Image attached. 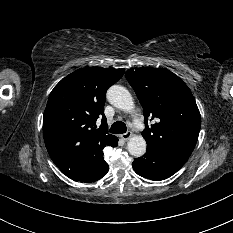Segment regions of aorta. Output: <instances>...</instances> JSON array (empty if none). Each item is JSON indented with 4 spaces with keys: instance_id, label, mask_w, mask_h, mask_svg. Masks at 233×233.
Here are the masks:
<instances>
[{
    "instance_id": "obj_1",
    "label": "aorta",
    "mask_w": 233,
    "mask_h": 233,
    "mask_svg": "<svg viewBox=\"0 0 233 233\" xmlns=\"http://www.w3.org/2000/svg\"><path fill=\"white\" fill-rule=\"evenodd\" d=\"M108 101L115 107L131 112L134 109V101L130 92L123 86L113 85L107 91ZM146 141L141 135L131 137L127 144L129 153L135 157L142 156L146 151Z\"/></svg>"
}]
</instances>
